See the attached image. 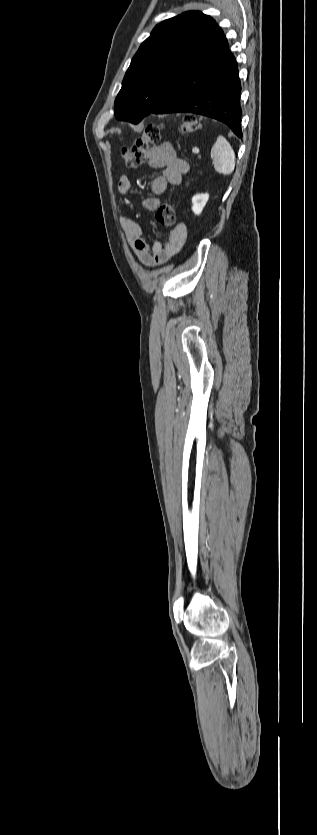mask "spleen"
Masks as SVG:
<instances>
[{
    "label": "spleen",
    "mask_w": 317,
    "mask_h": 835,
    "mask_svg": "<svg viewBox=\"0 0 317 835\" xmlns=\"http://www.w3.org/2000/svg\"><path fill=\"white\" fill-rule=\"evenodd\" d=\"M211 158L216 172L225 176L233 173L235 169V153L224 136H218L212 146Z\"/></svg>",
    "instance_id": "obj_1"
}]
</instances>
